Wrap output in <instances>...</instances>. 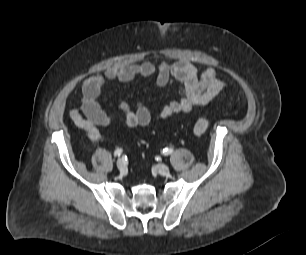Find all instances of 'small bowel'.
<instances>
[{"label": "small bowel", "mask_w": 306, "mask_h": 255, "mask_svg": "<svg viewBox=\"0 0 306 255\" xmlns=\"http://www.w3.org/2000/svg\"><path fill=\"white\" fill-rule=\"evenodd\" d=\"M156 77V84L163 88L171 83L181 86L180 97L164 105L159 111L160 119L175 114H187L193 107H203L211 102L224 88L215 68H207L199 73L190 62L179 60L174 63L143 62L130 65H114L103 73L86 78L82 84L81 107L70 111L73 123L84 129L90 141H97L101 129L113 124L114 120L100 106L103 86L108 80L129 82L135 77ZM124 115L125 127L129 130L146 127L151 122V112L143 103L132 106L127 101L119 104Z\"/></svg>", "instance_id": "small-bowel-1"}]
</instances>
